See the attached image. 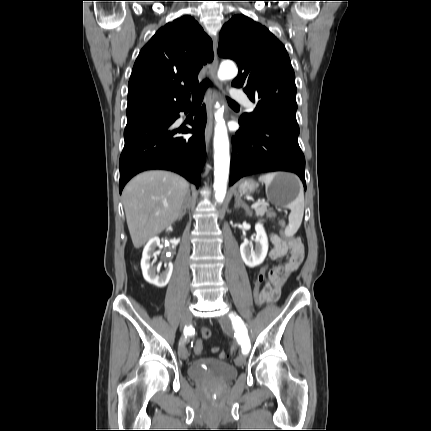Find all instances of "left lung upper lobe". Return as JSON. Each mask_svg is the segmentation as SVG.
<instances>
[{
  "label": "left lung upper lobe",
  "instance_id": "1",
  "mask_svg": "<svg viewBox=\"0 0 431 431\" xmlns=\"http://www.w3.org/2000/svg\"><path fill=\"white\" fill-rule=\"evenodd\" d=\"M218 55L237 62L239 74L232 85L257 104L239 121L249 125L273 118L298 125L294 70L284 45L265 26L234 16L220 32Z\"/></svg>",
  "mask_w": 431,
  "mask_h": 431
}]
</instances>
